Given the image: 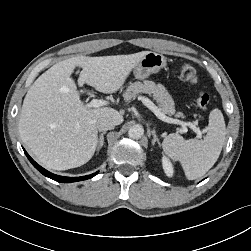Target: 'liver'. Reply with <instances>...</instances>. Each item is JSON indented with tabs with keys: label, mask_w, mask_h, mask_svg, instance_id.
Returning a JSON list of instances; mask_svg holds the SVG:
<instances>
[{
	"label": "liver",
	"mask_w": 251,
	"mask_h": 251,
	"mask_svg": "<svg viewBox=\"0 0 251 251\" xmlns=\"http://www.w3.org/2000/svg\"><path fill=\"white\" fill-rule=\"evenodd\" d=\"M149 51L129 55L73 57L56 63L32 84L21 109L19 132L36 159L54 170L87 163L98 144L96 122L109 117L116 124L122 115L110 107L89 108L80 98L71 75L82 68L79 84L102 93H114Z\"/></svg>",
	"instance_id": "6515ba94"
}]
</instances>
